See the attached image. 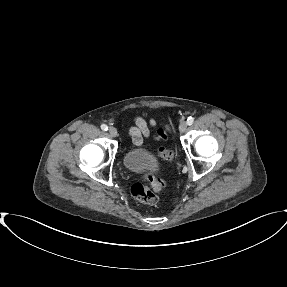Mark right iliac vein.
<instances>
[{
    "label": "right iliac vein",
    "instance_id": "right-iliac-vein-1",
    "mask_svg": "<svg viewBox=\"0 0 287 287\" xmlns=\"http://www.w3.org/2000/svg\"><path fill=\"white\" fill-rule=\"evenodd\" d=\"M110 136L116 137L117 136V130L114 127H110L108 130Z\"/></svg>",
    "mask_w": 287,
    "mask_h": 287
}]
</instances>
